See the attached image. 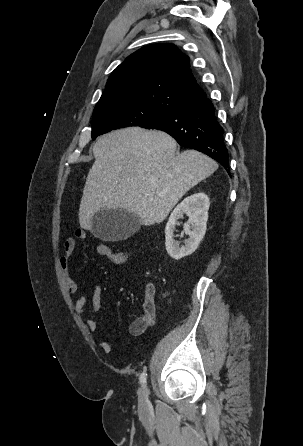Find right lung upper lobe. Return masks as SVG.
Returning a JSON list of instances; mask_svg holds the SVG:
<instances>
[{"label":"right lung upper lobe","instance_id":"obj_1","mask_svg":"<svg viewBox=\"0 0 303 446\" xmlns=\"http://www.w3.org/2000/svg\"><path fill=\"white\" fill-rule=\"evenodd\" d=\"M206 96L173 44H153L131 54L111 74L95 108L141 104L163 111Z\"/></svg>","mask_w":303,"mask_h":446}]
</instances>
